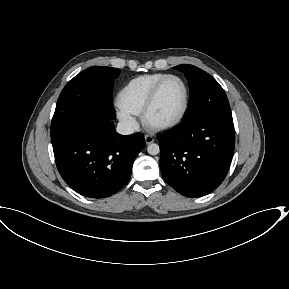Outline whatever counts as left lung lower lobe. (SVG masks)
Returning <instances> with one entry per match:
<instances>
[{"label":"left lung lower lobe","mask_w":289,"mask_h":289,"mask_svg":"<svg viewBox=\"0 0 289 289\" xmlns=\"http://www.w3.org/2000/svg\"><path fill=\"white\" fill-rule=\"evenodd\" d=\"M157 139L162 176L178 193L200 197L225 179L235 147L232 120L200 116Z\"/></svg>","instance_id":"left-lung-lower-lobe-1"}]
</instances>
